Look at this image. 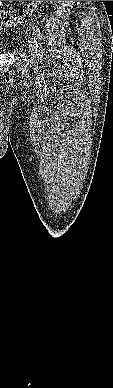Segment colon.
Here are the masks:
<instances>
[{"label": "colon", "instance_id": "1", "mask_svg": "<svg viewBox=\"0 0 113 388\" xmlns=\"http://www.w3.org/2000/svg\"><path fill=\"white\" fill-rule=\"evenodd\" d=\"M42 2L43 1H31L18 15L8 11H0V26L13 27L24 23L26 18L32 15Z\"/></svg>", "mask_w": 113, "mask_h": 388}]
</instances>
